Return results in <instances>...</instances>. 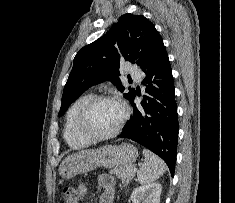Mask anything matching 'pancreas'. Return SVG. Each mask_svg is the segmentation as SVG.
I'll list each match as a JSON object with an SVG mask.
<instances>
[{
  "label": "pancreas",
  "mask_w": 235,
  "mask_h": 203,
  "mask_svg": "<svg viewBox=\"0 0 235 203\" xmlns=\"http://www.w3.org/2000/svg\"><path fill=\"white\" fill-rule=\"evenodd\" d=\"M134 168V165H124L112 169L110 174H115L123 183L127 184L135 176V172L133 171Z\"/></svg>",
  "instance_id": "1"
}]
</instances>
